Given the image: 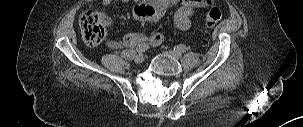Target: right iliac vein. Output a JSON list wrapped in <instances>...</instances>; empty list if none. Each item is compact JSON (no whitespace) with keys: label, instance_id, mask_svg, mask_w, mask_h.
<instances>
[{"label":"right iliac vein","instance_id":"obj_1","mask_svg":"<svg viewBox=\"0 0 303 127\" xmlns=\"http://www.w3.org/2000/svg\"><path fill=\"white\" fill-rule=\"evenodd\" d=\"M144 61V56L143 54H138L134 58V62L137 64H141Z\"/></svg>","mask_w":303,"mask_h":127}]
</instances>
